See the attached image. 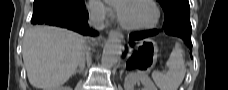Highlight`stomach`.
I'll list each match as a JSON object with an SVG mask.
<instances>
[{
    "label": "stomach",
    "mask_w": 228,
    "mask_h": 90,
    "mask_svg": "<svg viewBox=\"0 0 228 90\" xmlns=\"http://www.w3.org/2000/svg\"><path fill=\"white\" fill-rule=\"evenodd\" d=\"M140 50L135 58L131 59V63L137 64L141 68H150L156 64L158 57V48L155 42L145 40L139 44Z\"/></svg>",
    "instance_id": "0dacf381"
}]
</instances>
